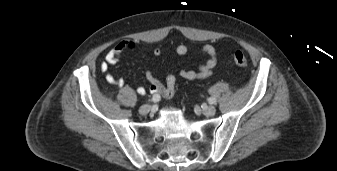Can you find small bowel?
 Here are the masks:
<instances>
[{
  "label": "small bowel",
  "instance_id": "c3829d8e",
  "mask_svg": "<svg viewBox=\"0 0 337 171\" xmlns=\"http://www.w3.org/2000/svg\"><path fill=\"white\" fill-rule=\"evenodd\" d=\"M138 49V44L134 40H124L110 49L104 58V61L100 65L101 71L106 73V80L119 87H124L126 82L123 78H116L109 72V68L115 65L120 60V57L125 52H135ZM188 52L186 45H179L176 48V54L178 56H184ZM201 54L208 56L206 63L199 65L196 68H184L180 71L179 75L185 80H197L207 79L212 76L215 68L217 67L219 55L216 48L213 45L206 44L202 46L200 50ZM162 54L160 48L153 50V55L159 57ZM146 80L149 83V91L154 95L162 96L165 99H171L175 93V85L177 77L175 74L170 73L166 76L165 84H163L152 72H147ZM146 92L144 87L137 88L139 95H144Z\"/></svg>",
  "mask_w": 337,
  "mask_h": 171
}]
</instances>
